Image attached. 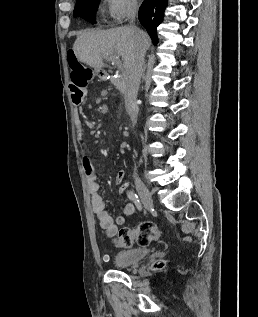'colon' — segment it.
Masks as SVG:
<instances>
[{
  "label": "colon",
  "mask_w": 258,
  "mask_h": 317,
  "mask_svg": "<svg viewBox=\"0 0 258 317\" xmlns=\"http://www.w3.org/2000/svg\"><path fill=\"white\" fill-rule=\"evenodd\" d=\"M67 62L72 79L79 81L85 86L93 80L94 71L82 64L72 49L67 51ZM160 234V229L155 223L144 222L136 228L120 229L115 238V244L121 248H129L134 245L146 246L158 240ZM162 266V262H157L154 267L161 268Z\"/></svg>",
  "instance_id": "5ec220e1"
}]
</instances>
